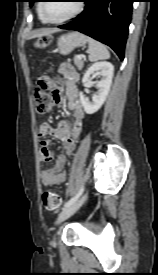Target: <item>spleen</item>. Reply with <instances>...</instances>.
<instances>
[{
  "label": "spleen",
  "instance_id": "1",
  "mask_svg": "<svg viewBox=\"0 0 158 275\" xmlns=\"http://www.w3.org/2000/svg\"><path fill=\"white\" fill-rule=\"evenodd\" d=\"M87 41L89 43V60L91 62L108 59L110 57L108 49L102 43L90 37H87Z\"/></svg>",
  "mask_w": 158,
  "mask_h": 275
}]
</instances>
